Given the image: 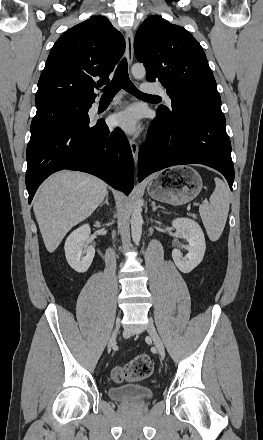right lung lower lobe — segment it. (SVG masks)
Masks as SVG:
<instances>
[{"label":"right lung lower lobe","instance_id":"98d812e1","mask_svg":"<svg viewBox=\"0 0 263 440\" xmlns=\"http://www.w3.org/2000/svg\"><path fill=\"white\" fill-rule=\"evenodd\" d=\"M26 158L29 204L39 185L62 169L90 173L126 194L133 189L130 145L119 128L111 130L104 121L95 125L89 120L61 125L30 140Z\"/></svg>","mask_w":263,"mask_h":440}]
</instances>
